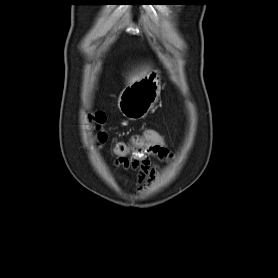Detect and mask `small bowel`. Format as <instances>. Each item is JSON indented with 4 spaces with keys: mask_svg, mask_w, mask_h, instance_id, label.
<instances>
[{
    "mask_svg": "<svg viewBox=\"0 0 278 278\" xmlns=\"http://www.w3.org/2000/svg\"><path fill=\"white\" fill-rule=\"evenodd\" d=\"M131 146L137 152L138 158H118L117 164L125 168L138 170V182L140 189L147 187L155 179L157 168L151 162V158L163 159L168 155L165 147L149 142L145 137L134 136Z\"/></svg>",
    "mask_w": 278,
    "mask_h": 278,
    "instance_id": "1",
    "label": "small bowel"
}]
</instances>
